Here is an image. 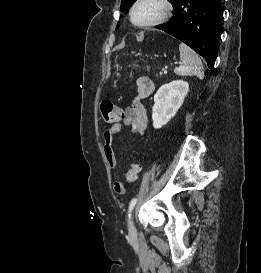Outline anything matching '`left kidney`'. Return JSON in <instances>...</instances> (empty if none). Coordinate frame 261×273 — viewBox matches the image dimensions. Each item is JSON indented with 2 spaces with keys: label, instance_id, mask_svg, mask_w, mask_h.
Here are the masks:
<instances>
[{
  "label": "left kidney",
  "instance_id": "5707ae66",
  "mask_svg": "<svg viewBox=\"0 0 261 273\" xmlns=\"http://www.w3.org/2000/svg\"><path fill=\"white\" fill-rule=\"evenodd\" d=\"M189 91V84L183 80H175L162 85L154 95L152 109L153 127L160 129L175 116Z\"/></svg>",
  "mask_w": 261,
  "mask_h": 273
}]
</instances>
